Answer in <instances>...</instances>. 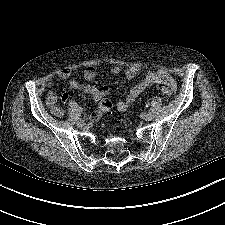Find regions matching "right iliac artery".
<instances>
[{"mask_svg":"<svg viewBox=\"0 0 225 225\" xmlns=\"http://www.w3.org/2000/svg\"><path fill=\"white\" fill-rule=\"evenodd\" d=\"M79 121H83V120H82V119H78V122H79Z\"/></svg>","mask_w":225,"mask_h":225,"instance_id":"1","label":"right iliac artery"}]
</instances>
